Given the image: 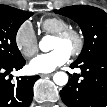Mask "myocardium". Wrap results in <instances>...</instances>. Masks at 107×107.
<instances>
[{
	"label": "myocardium",
	"instance_id": "1",
	"mask_svg": "<svg viewBox=\"0 0 107 107\" xmlns=\"http://www.w3.org/2000/svg\"><path fill=\"white\" fill-rule=\"evenodd\" d=\"M54 38L60 41H65L67 39L74 38L75 45L69 52L70 55L74 57L78 56L82 52L84 45H85V39H84L83 33L80 30L72 28V27L66 28L56 33L54 35Z\"/></svg>",
	"mask_w": 107,
	"mask_h": 107
}]
</instances>
